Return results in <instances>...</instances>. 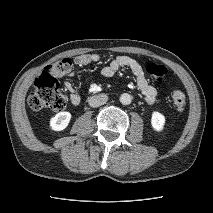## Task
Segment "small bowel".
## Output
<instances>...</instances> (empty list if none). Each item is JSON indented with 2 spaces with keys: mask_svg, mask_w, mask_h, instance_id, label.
Returning a JSON list of instances; mask_svg holds the SVG:
<instances>
[{
  "mask_svg": "<svg viewBox=\"0 0 213 213\" xmlns=\"http://www.w3.org/2000/svg\"><path fill=\"white\" fill-rule=\"evenodd\" d=\"M99 60L100 56L98 54H81L74 58V63L82 67L97 63ZM121 68H126L132 72L135 76L137 86L146 102L148 104H153L157 98V90L148 82L142 66L135 59L126 55L117 56L108 65L102 68L101 74L109 78L114 76ZM71 75H74V72H72ZM64 85L70 93L71 103L74 105L79 104L81 98L73 84L69 80H65Z\"/></svg>",
  "mask_w": 213,
  "mask_h": 213,
  "instance_id": "c3829d8e",
  "label": "small bowel"
}]
</instances>
